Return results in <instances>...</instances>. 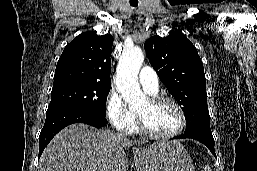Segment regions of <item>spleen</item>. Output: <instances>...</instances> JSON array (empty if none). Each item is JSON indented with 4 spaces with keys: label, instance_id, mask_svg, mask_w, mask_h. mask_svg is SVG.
Listing matches in <instances>:
<instances>
[{
    "label": "spleen",
    "instance_id": "spleen-1",
    "mask_svg": "<svg viewBox=\"0 0 257 171\" xmlns=\"http://www.w3.org/2000/svg\"><path fill=\"white\" fill-rule=\"evenodd\" d=\"M202 171H211V168L208 165H206L203 167Z\"/></svg>",
    "mask_w": 257,
    "mask_h": 171
}]
</instances>
